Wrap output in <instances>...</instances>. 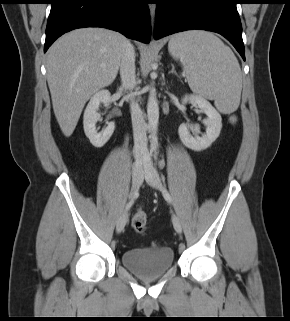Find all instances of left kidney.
<instances>
[{
	"instance_id": "1",
	"label": "left kidney",
	"mask_w": 290,
	"mask_h": 321,
	"mask_svg": "<svg viewBox=\"0 0 290 321\" xmlns=\"http://www.w3.org/2000/svg\"><path fill=\"white\" fill-rule=\"evenodd\" d=\"M190 102L193 106L198 107L207 115V119L203 121L206 126V133L201 137L199 126H191L182 123L179 126L178 133L182 143L189 149L194 151H201L210 147V145L218 138L222 128L221 115L205 98L199 95H186L182 99V103ZM190 129L194 136L190 134Z\"/></svg>"
}]
</instances>
